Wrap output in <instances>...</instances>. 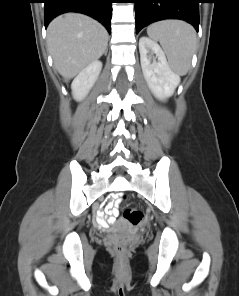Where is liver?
<instances>
[{"label":"liver","instance_id":"1","mask_svg":"<svg viewBox=\"0 0 239 296\" xmlns=\"http://www.w3.org/2000/svg\"><path fill=\"white\" fill-rule=\"evenodd\" d=\"M47 44L56 69L68 80L103 55L108 33L91 17L66 13L49 24Z\"/></svg>","mask_w":239,"mask_h":296}]
</instances>
